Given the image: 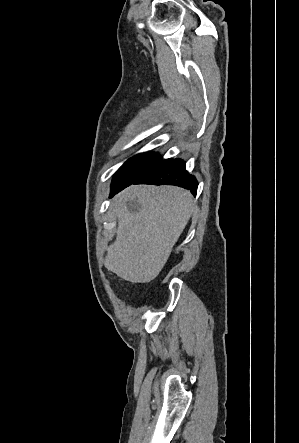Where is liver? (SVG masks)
<instances>
[{"label":"liver","mask_w":299,"mask_h":443,"mask_svg":"<svg viewBox=\"0 0 299 443\" xmlns=\"http://www.w3.org/2000/svg\"><path fill=\"white\" fill-rule=\"evenodd\" d=\"M116 240L105 266L132 283L155 279L187 225L191 193L175 186H134L118 196Z\"/></svg>","instance_id":"obj_1"}]
</instances>
